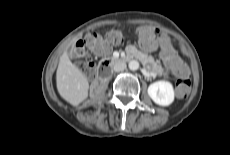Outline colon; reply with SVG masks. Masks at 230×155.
<instances>
[{
	"label": "colon",
	"mask_w": 230,
	"mask_h": 155,
	"mask_svg": "<svg viewBox=\"0 0 230 155\" xmlns=\"http://www.w3.org/2000/svg\"><path fill=\"white\" fill-rule=\"evenodd\" d=\"M124 41V35L120 28L115 27L109 30L105 36L98 33H90L84 39L78 41L73 49L74 55L79 59V66L82 71L92 75L94 73V64L87 57L88 50L103 52L106 43L111 45H120ZM178 77L176 82V93L179 97H185L189 93L190 81L187 76L185 65H181L176 71Z\"/></svg>",
	"instance_id": "colon-1"
}]
</instances>
